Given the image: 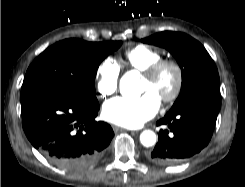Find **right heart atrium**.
I'll return each instance as SVG.
<instances>
[{"instance_id":"obj_1","label":"right heart atrium","mask_w":245,"mask_h":187,"mask_svg":"<svg viewBox=\"0 0 245 187\" xmlns=\"http://www.w3.org/2000/svg\"><path fill=\"white\" fill-rule=\"evenodd\" d=\"M120 68L113 58H105L98 66L96 92L100 98L112 96L118 86Z\"/></svg>"}]
</instances>
